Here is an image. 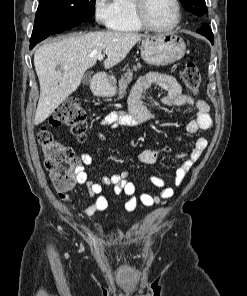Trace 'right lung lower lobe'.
<instances>
[{
	"label": "right lung lower lobe",
	"instance_id": "1",
	"mask_svg": "<svg viewBox=\"0 0 247 296\" xmlns=\"http://www.w3.org/2000/svg\"><path fill=\"white\" fill-rule=\"evenodd\" d=\"M38 42L30 40V48L32 49Z\"/></svg>",
	"mask_w": 247,
	"mask_h": 296
}]
</instances>
